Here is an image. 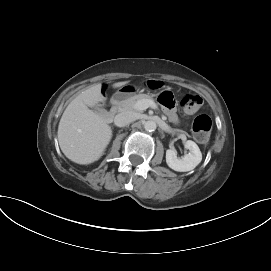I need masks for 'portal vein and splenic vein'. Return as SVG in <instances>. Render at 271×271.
Segmentation results:
<instances>
[{
  "instance_id": "1",
  "label": "portal vein and splenic vein",
  "mask_w": 271,
  "mask_h": 271,
  "mask_svg": "<svg viewBox=\"0 0 271 271\" xmlns=\"http://www.w3.org/2000/svg\"><path fill=\"white\" fill-rule=\"evenodd\" d=\"M149 107L157 108L156 104L149 100H140L135 104V108L139 111L146 110Z\"/></svg>"
}]
</instances>
